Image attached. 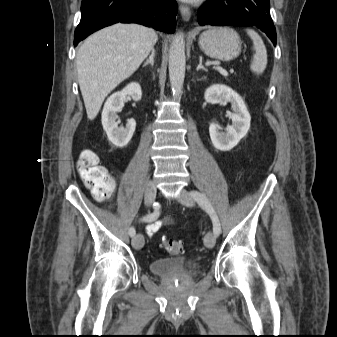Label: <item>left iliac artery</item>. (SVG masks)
Returning a JSON list of instances; mask_svg holds the SVG:
<instances>
[{
  "mask_svg": "<svg viewBox=\"0 0 337 337\" xmlns=\"http://www.w3.org/2000/svg\"><path fill=\"white\" fill-rule=\"evenodd\" d=\"M191 196L197 201V203L206 210V212L209 214L212 223H213V232L215 234V236H219L220 232H221V226H220V222L218 219V216L216 214V212L214 211L211 203L209 202V200L200 192L198 191H192Z\"/></svg>",
  "mask_w": 337,
  "mask_h": 337,
  "instance_id": "obj_1",
  "label": "left iliac artery"
}]
</instances>
